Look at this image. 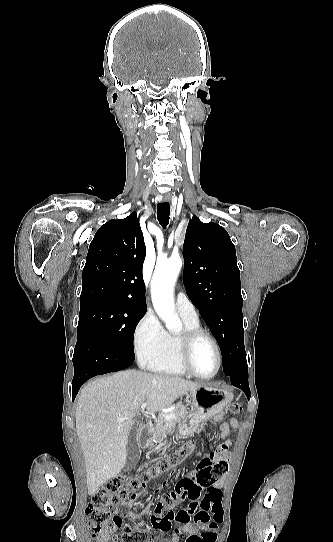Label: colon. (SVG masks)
<instances>
[{
	"mask_svg": "<svg viewBox=\"0 0 333 542\" xmlns=\"http://www.w3.org/2000/svg\"><path fill=\"white\" fill-rule=\"evenodd\" d=\"M232 415L241 411L239 403L234 402L230 406ZM197 448L194 440L185 442L180 450L170 452L166 458L154 464L147 465L138 476L129 474L118 475L106 481L92 497L86 508L88 529L91 536L96 540H115L116 528L122 525V517L127 518V510L124 504L133 498L140 487L149 483L158 475L173 472L176 466L185 458L191 456ZM229 465L225 460L214 462L208 458L201 461L194 471L193 479H180L174 489L166 491L168 500H175L177 495L180 500L197 501L200 505H188L187 509L173 511L164 501H158L154 513L150 517L149 530L156 528L160 532H168L176 520L180 526L188 525L190 519L195 525L208 524V529L201 537H193L195 541L210 542V533H216L223 520L224 511L220 505L222 498L215 482L228 471ZM122 542H158L154 534L145 531H132L129 524L122 526ZM178 531V529H175Z\"/></svg>",
	"mask_w": 333,
	"mask_h": 542,
	"instance_id": "5ec220e1",
	"label": "colon"
}]
</instances>
